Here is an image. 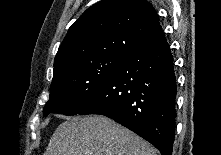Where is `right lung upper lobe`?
<instances>
[{"mask_svg":"<svg viewBox=\"0 0 221 155\" xmlns=\"http://www.w3.org/2000/svg\"><path fill=\"white\" fill-rule=\"evenodd\" d=\"M162 28L146 0H102L70 27L54 60V73L71 62L108 53L125 54Z\"/></svg>","mask_w":221,"mask_h":155,"instance_id":"1","label":"right lung upper lobe"}]
</instances>
